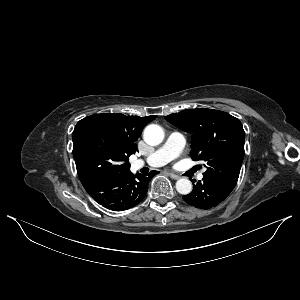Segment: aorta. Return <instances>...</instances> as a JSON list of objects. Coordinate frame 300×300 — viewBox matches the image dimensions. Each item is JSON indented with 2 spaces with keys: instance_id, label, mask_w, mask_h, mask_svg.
Listing matches in <instances>:
<instances>
[{
  "instance_id": "1",
  "label": "aorta",
  "mask_w": 300,
  "mask_h": 300,
  "mask_svg": "<svg viewBox=\"0 0 300 300\" xmlns=\"http://www.w3.org/2000/svg\"><path fill=\"white\" fill-rule=\"evenodd\" d=\"M145 141L152 146L159 145L164 139V131L161 126L156 124L148 125L144 130ZM176 190L187 195L192 191V183L186 178H181L176 182Z\"/></svg>"
}]
</instances>
